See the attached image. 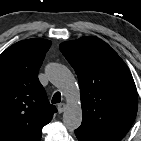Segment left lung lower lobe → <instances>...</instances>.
Returning a JSON list of instances; mask_svg holds the SVG:
<instances>
[{
    "mask_svg": "<svg viewBox=\"0 0 141 141\" xmlns=\"http://www.w3.org/2000/svg\"><path fill=\"white\" fill-rule=\"evenodd\" d=\"M75 134H76V136H77V138H78L79 141H91V140L85 138L84 136H82V135H81L80 133H78V132H75Z\"/></svg>",
    "mask_w": 141,
    "mask_h": 141,
    "instance_id": "left-lung-lower-lobe-1",
    "label": "left lung lower lobe"
}]
</instances>
